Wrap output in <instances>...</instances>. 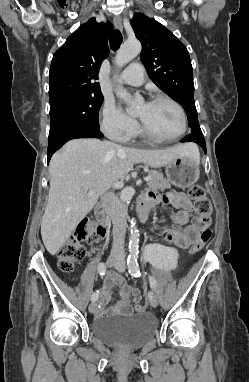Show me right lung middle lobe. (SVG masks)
<instances>
[{
    "label": "right lung middle lobe",
    "instance_id": "right-lung-middle-lobe-1",
    "mask_svg": "<svg viewBox=\"0 0 249 382\" xmlns=\"http://www.w3.org/2000/svg\"><path fill=\"white\" fill-rule=\"evenodd\" d=\"M103 95L67 98L50 104L49 136L76 127H98Z\"/></svg>",
    "mask_w": 249,
    "mask_h": 382
}]
</instances>
